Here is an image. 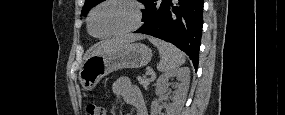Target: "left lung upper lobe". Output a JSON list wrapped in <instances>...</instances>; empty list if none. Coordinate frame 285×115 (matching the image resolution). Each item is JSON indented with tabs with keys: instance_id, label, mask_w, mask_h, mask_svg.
Listing matches in <instances>:
<instances>
[{
	"instance_id": "1",
	"label": "left lung upper lobe",
	"mask_w": 285,
	"mask_h": 115,
	"mask_svg": "<svg viewBox=\"0 0 285 115\" xmlns=\"http://www.w3.org/2000/svg\"><path fill=\"white\" fill-rule=\"evenodd\" d=\"M139 1L142 3L145 2V0H139ZM100 2H102V0H85V4L82 8L81 14L85 16L92 7L96 6Z\"/></svg>"
}]
</instances>
